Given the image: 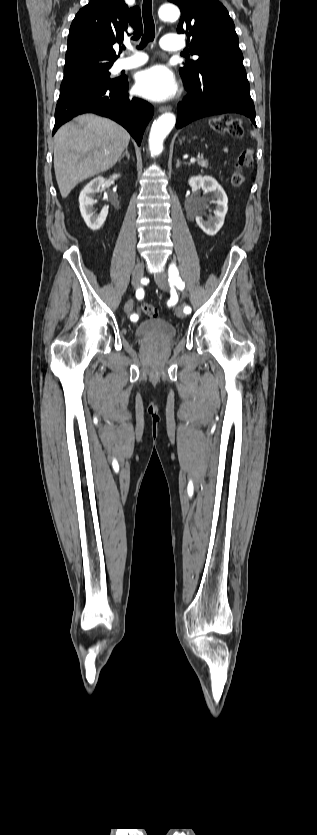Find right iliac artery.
I'll use <instances>...</instances> for the list:
<instances>
[{"label": "right iliac artery", "mask_w": 317, "mask_h": 835, "mask_svg": "<svg viewBox=\"0 0 317 835\" xmlns=\"http://www.w3.org/2000/svg\"><path fill=\"white\" fill-rule=\"evenodd\" d=\"M136 298H137L138 300H141V299H143V298H144V290H143L142 288H139V289L136 291ZM130 319H131L132 321H136V320L138 319V316H137V315H135V314H132V315L130 316Z\"/></svg>", "instance_id": "obj_1"}]
</instances>
